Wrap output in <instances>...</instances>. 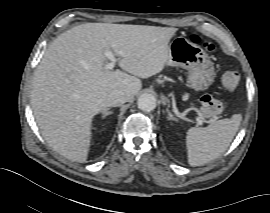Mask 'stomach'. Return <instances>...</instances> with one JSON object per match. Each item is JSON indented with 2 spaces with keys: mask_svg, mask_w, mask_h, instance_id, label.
Instances as JSON below:
<instances>
[{
  "mask_svg": "<svg viewBox=\"0 0 270 213\" xmlns=\"http://www.w3.org/2000/svg\"><path fill=\"white\" fill-rule=\"evenodd\" d=\"M167 65L188 70L187 84L195 91H204L214 82L215 70L209 57L185 37H176L168 46ZM164 103H169L166 95Z\"/></svg>",
  "mask_w": 270,
  "mask_h": 213,
  "instance_id": "0dacf381",
  "label": "stomach"
}]
</instances>
